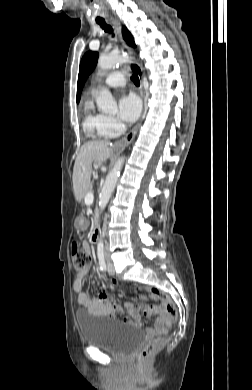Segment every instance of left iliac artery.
Listing matches in <instances>:
<instances>
[{
	"label": "left iliac artery",
	"instance_id": "1",
	"mask_svg": "<svg viewBox=\"0 0 252 390\" xmlns=\"http://www.w3.org/2000/svg\"><path fill=\"white\" fill-rule=\"evenodd\" d=\"M97 256H98V262L99 267L102 271L106 270V263H105V257H104V243H99L97 246Z\"/></svg>",
	"mask_w": 252,
	"mask_h": 390
}]
</instances>
